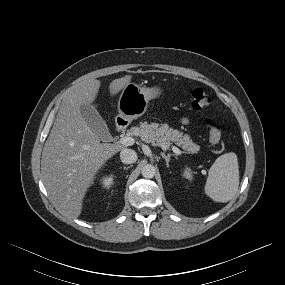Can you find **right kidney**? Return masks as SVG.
Segmentation results:
<instances>
[{"label": "right kidney", "mask_w": 285, "mask_h": 285, "mask_svg": "<svg viewBox=\"0 0 285 285\" xmlns=\"http://www.w3.org/2000/svg\"><path fill=\"white\" fill-rule=\"evenodd\" d=\"M113 175L110 176H106L104 177L101 181H102V186L105 188H109L112 184H113Z\"/></svg>", "instance_id": "1"}]
</instances>
